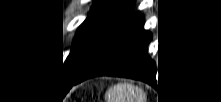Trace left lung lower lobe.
Listing matches in <instances>:
<instances>
[{
  "mask_svg": "<svg viewBox=\"0 0 221 102\" xmlns=\"http://www.w3.org/2000/svg\"><path fill=\"white\" fill-rule=\"evenodd\" d=\"M143 26V15L133 12L86 66L65 80L66 87L69 89L88 78L102 75L128 77L154 85L155 62L147 53L152 34Z\"/></svg>",
  "mask_w": 221,
  "mask_h": 102,
  "instance_id": "0a47b994",
  "label": "left lung lower lobe"
}]
</instances>
